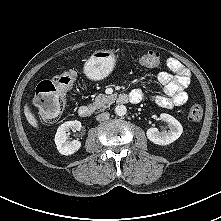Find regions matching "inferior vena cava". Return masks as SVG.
<instances>
[{"instance_id": "1", "label": "inferior vena cava", "mask_w": 221, "mask_h": 221, "mask_svg": "<svg viewBox=\"0 0 221 221\" xmlns=\"http://www.w3.org/2000/svg\"><path fill=\"white\" fill-rule=\"evenodd\" d=\"M110 114L108 112H103L101 114H98L96 116V120L97 121H104V120H107L109 118Z\"/></svg>"}]
</instances>
